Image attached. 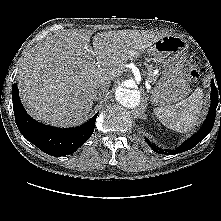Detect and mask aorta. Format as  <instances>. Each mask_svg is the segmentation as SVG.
Listing matches in <instances>:
<instances>
[{
	"label": "aorta",
	"instance_id": "1",
	"mask_svg": "<svg viewBox=\"0 0 221 221\" xmlns=\"http://www.w3.org/2000/svg\"><path fill=\"white\" fill-rule=\"evenodd\" d=\"M115 98L122 106L134 108L138 106L140 102V93L136 89L118 87L115 92Z\"/></svg>",
	"mask_w": 221,
	"mask_h": 221
}]
</instances>
